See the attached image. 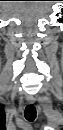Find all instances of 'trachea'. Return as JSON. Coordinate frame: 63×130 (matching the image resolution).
I'll use <instances>...</instances> for the list:
<instances>
[{"instance_id":"3493384b","label":"trachea","mask_w":63,"mask_h":130,"mask_svg":"<svg viewBox=\"0 0 63 130\" xmlns=\"http://www.w3.org/2000/svg\"><path fill=\"white\" fill-rule=\"evenodd\" d=\"M24 116L27 121L32 122L36 118V109L33 104H29L26 106L25 111H24Z\"/></svg>"}]
</instances>
